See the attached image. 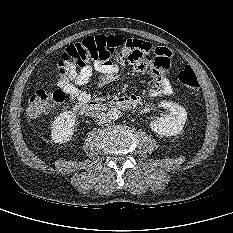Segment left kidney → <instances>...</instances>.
I'll return each mask as SVG.
<instances>
[{"instance_id":"obj_1","label":"left kidney","mask_w":233,"mask_h":233,"mask_svg":"<svg viewBox=\"0 0 233 233\" xmlns=\"http://www.w3.org/2000/svg\"><path fill=\"white\" fill-rule=\"evenodd\" d=\"M160 107L166 109L168 114L151 121L150 128L155 133L163 136H175L180 134L187 120L185 108L168 101H162Z\"/></svg>"}]
</instances>
